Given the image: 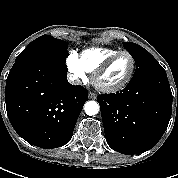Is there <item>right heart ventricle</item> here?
<instances>
[{
	"label": "right heart ventricle",
	"mask_w": 178,
	"mask_h": 178,
	"mask_svg": "<svg viewBox=\"0 0 178 178\" xmlns=\"http://www.w3.org/2000/svg\"><path fill=\"white\" fill-rule=\"evenodd\" d=\"M119 51L112 48L94 47L82 51L78 59L86 72L93 73L107 58Z\"/></svg>",
	"instance_id": "obj_1"
}]
</instances>
